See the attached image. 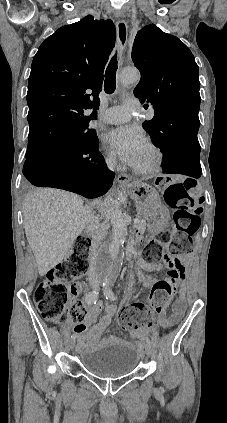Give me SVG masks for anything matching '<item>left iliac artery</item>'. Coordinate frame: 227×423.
<instances>
[{
	"instance_id": "1",
	"label": "left iliac artery",
	"mask_w": 227,
	"mask_h": 423,
	"mask_svg": "<svg viewBox=\"0 0 227 423\" xmlns=\"http://www.w3.org/2000/svg\"><path fill=\"white\" fill-rule=\"evenodd\" d=\"M103 290H104V295L106 297V299H110V300H116V295L114 294V292L111 289V283L110 282H104L103 283ZM146 343L148 345H151V341L150 339H146Z\"/></svg>"
}]
</instances>
